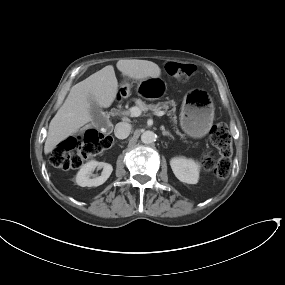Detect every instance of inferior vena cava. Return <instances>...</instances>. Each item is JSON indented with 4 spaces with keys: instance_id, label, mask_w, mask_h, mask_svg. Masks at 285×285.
<instances>
[{
    "instance_id": "1",
    "label": "inferior vena cava",
    "mask_w": 285,
    "mask_h": 285,
    "mask_svg": "<svg viewBox=\"0 0 285 285\" xmlns=\"http://www.w3.org/2000/svg\"><path fill=\"white\" fill-rule=\"evenodd\" d=\"M131 132V124L127 122H119L116 124L114 134L118 139H125Z\"/></svg>"
}]
</instances>
